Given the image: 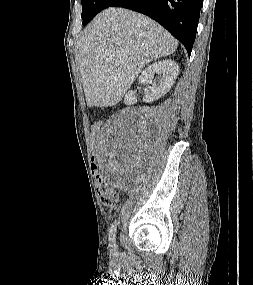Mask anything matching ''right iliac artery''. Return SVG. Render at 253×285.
<instances>
[{"label": "right iliac artery", "instance_id": "82829eb1", "mask_svg": "<svg viewBox=\"0 0 253 285\" xmlns=\"http://www.w3.org/2000/svg\"><path fill=\"white\" fill-rule=\"evenodd\" d=\"M116 228H117V221H115L110 228L109 231V241H110V246L113 247L115 246V241H116Z\"/></svg>", "mask_w": 253, "mask_h": 285}]
</instances>
